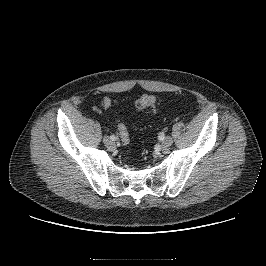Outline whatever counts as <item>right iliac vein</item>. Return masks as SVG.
<instances>
[{"label":"right iliac vein","mask_w":266,"mask_h":266,"mask_svg":"<svg viewBox=\"0 0 266 266\" xmlns=\"http://www.w3.org/2000/svg\"><path fill=\"white\" fill-rule=\"evenodd\" d=\"M104 143H105V145L107 146V147H114V145H115V142H114V140H112L111 138H109V137H104Z\"/></svg>","instance_id":"1"}]
</instances>
